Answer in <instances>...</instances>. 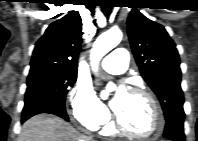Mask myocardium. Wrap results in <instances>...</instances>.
<instances>
[{
    "label": "myocardium",
    "instance_id": "obj_1",
    "mask_svg": "<svg viewBox=\"0 0 198 141\" xmlns=\"http://www.w3.org/2000/svg\"><path fill=\"white\" fill-rule=\"evenodd\" d=\"M131 93L144 96L149 100V102L152 106L154 127H153L152 131H150L147 134H139V133L133 132V131L127 129L121 123L117 113L114 114L115 127L122 133H124L132 138H136V139L149 140V139L157 137L162 129V126H163L162 112H161V109H160L157 99L148 90L143 89V88H133L131 90Z\"/></svg>",
    "mask_w": 198,
    "mask_h": 141
}]
</instances>
